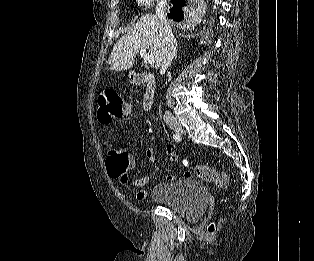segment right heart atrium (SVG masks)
Segmentation results:
<instances>
[{"label": "right heart atrium", "instance_id": "right-heart-atrium-1", "mask_svg": "<svg viewBox=\"0 0 314 261\" xmlns=\"http://www.w3.org/2000/svg\"><path fill=\"white\" fill-rule=\"evenodd\" d=\"M154 0H136L137 4L141 7V8H148Z\"/></svg>", "mask_w": 314, "mask_h": 261}]
</instances>
